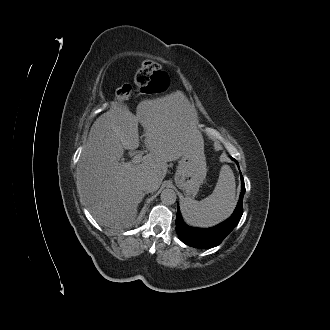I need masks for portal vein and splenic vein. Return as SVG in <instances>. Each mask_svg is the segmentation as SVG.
<instances>
[{"instance_id": "18ae733b", "label": "portal vein and splenic vein", "mask_w": 330, "mask_h": 330, "mask_svg": "<svg viewBox=\"0 0 330 330\" xmlns=\"http://www.w3.org/2000/svg\"><path fill=\"white\" fill-rule=\"evenodd\" d=\"M145 151H140L138 154H136L133 158H132V162L135 164H138L142 161L143 158V154Z\"/></svg>"}]
</instances>
